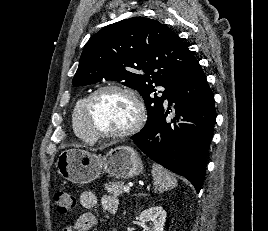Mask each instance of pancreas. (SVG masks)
<instances>
[{
	"label": "pancreas",
	"instance_id": "1",
	"mask_svg": "<svg viewBox=\"0 0 268 231\" xmlns=\"http://www.w3.org/2000/svg\"><path fill=\"white\" fill-rule=\"evenodd\" d=\"M104 189L107 193L113 196H119L124 192V183L123 182H109L104 184Z\"/></svg>",
	"mask_w": 268,
	"mask_h": 231
}]
</instances>
